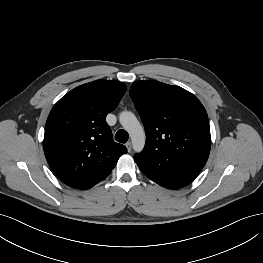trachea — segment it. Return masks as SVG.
<instances>
[{"instance_id": "1", "label": "trachea", "mask_w": 263, "mask_h": 263, "mask_svg": "<svg viewBox=\"0 0 263 263\" xmlns=\"http://www.w3.org/2000/svg\"><path fill=\"white\" fill-rule=\"evenodd\" d=\"M128 138H129L128 133L123 129L118 130L117 133L115 134V140L120 143H126L128 141Z\"/></svg>"}]
</instances>
